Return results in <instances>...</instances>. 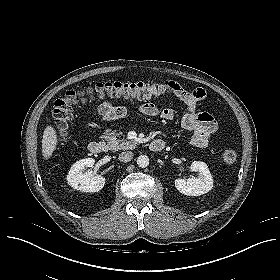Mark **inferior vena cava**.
<instances>
[{
	"label": "inferior vena cava",
	"instance_id": "602c4592",
	"mask_svg": "<svg viewBox=\"0 0 280 280\" xmlns=\"http://www.w3.org/2000/svg\"><path fill=\"white\" fill-rule=\"evenodd\" d=\"M132 158H133V153L131 151L122 152L119 154V157H118V159L121 162H129L132 160Z\"/></svg>",
	"mask_w": 280,
	"mask_h": 280
}]
</instances>
